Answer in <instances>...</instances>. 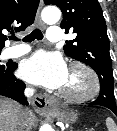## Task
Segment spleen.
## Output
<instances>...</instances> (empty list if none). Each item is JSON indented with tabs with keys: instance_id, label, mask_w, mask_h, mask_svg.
<instances>
[{
	"instance_id": "obj_1",
	"label": "spleen",
	"mask_w": 117,
	"mask_h": 131,
	"mask_svg": "<svg viewBox=\"0 0 117 131\" xmlns=\"http://www.w3.org/2000/svg\"><path fill=\"white\" fill-rule=\"evenodd\" d=\"M106 126L108 128V131H117V126L114 120L110 117L106 118Z\"/></svg>"
}]
</instances>
